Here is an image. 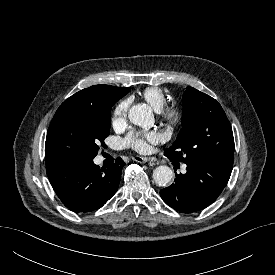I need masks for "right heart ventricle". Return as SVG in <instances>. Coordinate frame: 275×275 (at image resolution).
I'll return each instance as SVG.
<instances>
[{
    "instance_id": "e07e8e85",
    "label": "right heart ventricle",
    "mask_w": 275,
    "mask_h": 275,
    "mask_svg": "<svg viewBox=\"0 0 275 275\" xmlns=\"http://www.w3.org/2000/svg\"><path fill=\"white\" fill-rule=\"evenodd\" d=\"M141 96L156 111H160L167 101L164 91L159 87H147Z\"/></svg>"
}]
</instances>
